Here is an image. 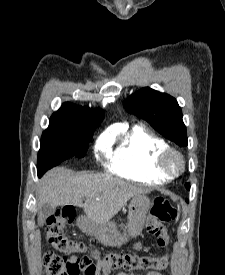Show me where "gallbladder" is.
<instances>
[{
  "label": "gallbladder",
  "mask_w": 225,
  "mask_h": 275,
  "mask_svg": "<svg viewBox=\"0 0 225 275\" xmlns=\"http://www.w3.org/2000/svg\"><path fill=\"white\" fill-rule=\"evenodd\" d=\"M55 210L56 209L54 207H52L48 204H44V205L40 206L38 209V223H39V225L44 223L48 217L52 216L55 213Z\"/></svg>",
  "instance_id": "gallbladder-1"
}]
</instances>
